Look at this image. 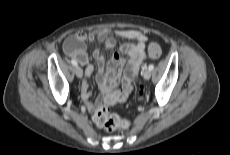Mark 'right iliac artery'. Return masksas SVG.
Segmentation results:
<instances>
[{"label": "right iliac artery", "instance_id": "1", "mask_svg": "<svg viewBox=\"0 0 230 155\" xmlns=\"http://www.w3.org/2000/svg\"><path fill=\"white\" fill-rule=\"evenodd\" d=\"M72 65L77 66V62L75 60H71Z\"/></svg>", "mask_w": 230, "mask_h": 155}]
</instances>
